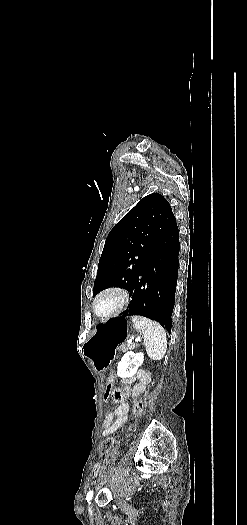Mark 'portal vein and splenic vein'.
I'll use <instances>...</instances> for the list:
<instances>
[{
  "mask_svg": "<svg viewBox=\"0 0 247 525\" xmlns=\"http://www.w3.org/2000/svg\"><path fill=\"white\" fill-rule=\"evenodd\" d=\"M141 335H138V338H135L134 343H138L140 341Z\"/></svg>",
  "mask_w": 247,
  "mask_h": 525,
  "instance_id": "1",
  "label": "portal vein and splenic vein"
}]
</instances>
